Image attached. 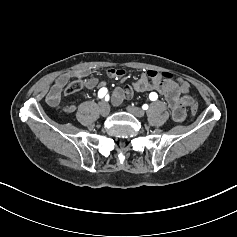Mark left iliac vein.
Masks as SVG:
<instances>
[{"mask_svg":"<svg viewBox=\"0 0 237 237\" xmlns=\"http://www.w3.org/2000/svg\"><path fill=\"white\" fill-rule=\"evenodd\" d=\"M127 111L136 117H143L145 115V111L143 109L134 106H128Z\"/></svg>","mask_w":237,"mask_h":237,"instance_id":"1","label":"left iliac vein"}]
</instances>
